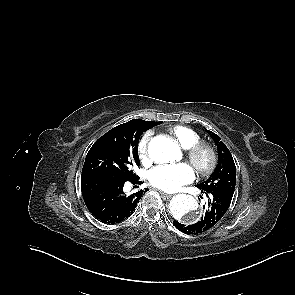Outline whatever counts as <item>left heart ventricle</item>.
<instances>
[{"instance_id": "1", "label": "left heart ventricle", "mask_w": 295, "mask_h": 295, "mask_svg": "<svg viewBox=\"0 0 295 295\" xmlns=\"http://www.w3.org/2000/svg\"><path fill=\"white\" fill-rule=\"evenodd\" d=\"M202 160H203V161H206V157H203Z\"/></svg>"}]
</instances>
